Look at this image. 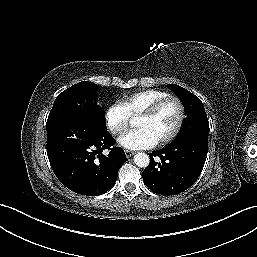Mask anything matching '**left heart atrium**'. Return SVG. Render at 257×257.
<instances>
[{
	"mask_svg": "<svg viewBox=\"0 0 257 257\" xmlns=\"http://www.w3.org/2000/svg\"><path fill=\"white\" fill-rule=\"evenodd\" d=\"M119 142L125 148L139 150L154 147L158 140L148 130L137 128L121 136Z\"/></svg>",
	"mask_w": 257,
	"mask_h": 257,
	"instance_id": "1",
	"label": "left heart atrium"
}]
</instances>
